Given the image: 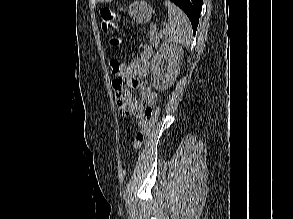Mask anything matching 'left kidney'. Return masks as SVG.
I'll return each mask as SVG.
<instances>
[{"instance_id": "obj_1", "label": "left kidney", "mask_w": 293, "mask_h": 219, "mask_svg": "<svg viewBox=\"0 0 293 219\" xmlns=\"http://www.w3.org/2000/svg\"><path fill=\"white\" fill-rule=\"evenodd\" d=\"M182 57L183 50L180 46L170 43L161 45L151 62V81L156 90L165 91L173 85Z\"/></svg>"}]
</instances>
